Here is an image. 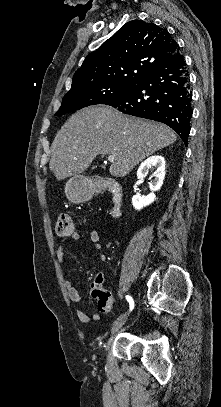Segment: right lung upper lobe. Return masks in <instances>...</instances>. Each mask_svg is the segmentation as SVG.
<instances>
[{
	"instance_id": "obj_1",
	"label": "right lung upper lobe",
	"mask_w": 221,
	"mask_h": 407,
	"mask_svg": "<svg viewBox=\"0 0 221 407\" xmlns=\"http://www.w3.org/2000/svg\"><path fill=\"white\" fill-rule=\"evenodd\" d=\"M178 49L167 30L154 23L132 20L88 54L75 72L69 92L102 83L136 84Z\"/></svg>"
}]
</instances>
